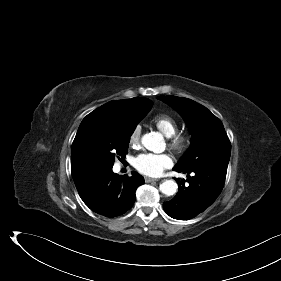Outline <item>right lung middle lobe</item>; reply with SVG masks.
<instances>
[{"label":"right lung middle lobe","instance_id":"dd1d6c3e","mask_svg":"<svg viewBox=\"0 0 281 281\" xmlns=\"http://www.w3.org/2000/svg\"><path fill=\"white\" fill-rule=\"evenodd\" d=\"M152 104L131 122L124 125L96 127L83 146V156L90 169L112 167L116 155L128 152L130 136L138 122L150 111Z\"/></svg>","mask_w":281,"mask_h":281}]
</instances>
